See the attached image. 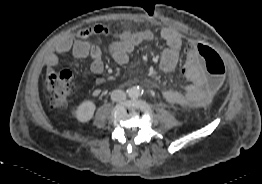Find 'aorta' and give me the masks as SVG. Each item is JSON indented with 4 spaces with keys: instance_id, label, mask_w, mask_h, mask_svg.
I'll return each mask as SVG.
<instances>
[{
    "instance_id": "aorta-1",
    "label": "aorta",
    "mask_w": 262,
    "mask_h": 184,
    "mask_svg": "<svg viewBox=\"0 0 262 184\" xmlns=\"http://www.w3.org/2000/svg\"><path fill=\"white\" fill-rule=\"evenodd\" d=\"M141 94V91L138 87H132L130 90H129V96L132 97V98H137L139 97Z\"/></svg>"
}]
</instances>
